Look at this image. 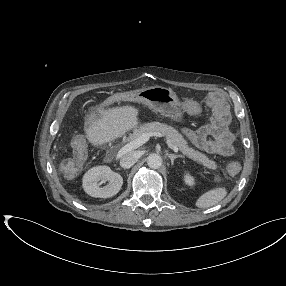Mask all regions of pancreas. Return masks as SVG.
I'll list each match as a JSON object with an SVG mask.
<instances>
[{
    "mask_svg": "<svg viewBox=\"0 0 286 286\" xmlns=\"http://www.w3.org/2000/svg\"><path fill=\"white\" fill-rule=\"evenodd\" d=\"M161 133L163 136L167 137L172 145L176 146L185 156L188 158L202 164L203 166L215 170L217 165L214 161L208 159L205 154L194 150L188 146L187 141L183 136L173 127L160 122H151L147 123L138 129H135L133 134L130 136L131 139H136L141 136L143 133ZM219 178L215 177V181H218Z\"/></svg>",
    "mask_w": 286,
    "mask_h": 286,
    "instance_id": "obj_1",
    "label": "pancreas"
}]
</instances>
